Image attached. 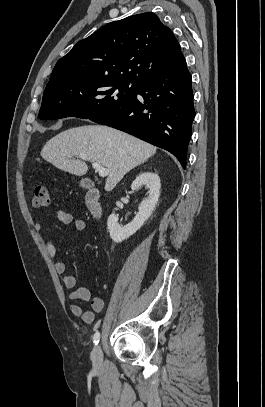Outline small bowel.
I'll return each mask as SVG.
<instances>
[{
	"instance_id": "obj_1",
	"label": "small bowel",
	"mask_w": 265,
	"mask_h": 407,
	"mask_svg": "<svg viewBox=\"0 0 265 407\" xmlns=\"http://www.w3.org/2000/svg\"><path fill=\"white\" fill-rule=\"evenodd\" d=\"M45 213H41L34 223V228L36 231H40L42 228V219ZM58 224L60 225H73L77 231H82L86 227V223L82 218H75L73 214L57 210L55 212ZM46 251L51 258H56L57 249L54 242L51 239H46L45 241ZM54 267L58 274L62 275V281L65 288L71 290L69 298L73 301H90L92 310H86L83 308L81 303L75 302L70 306L71 313L74 316L80 317L85 323L91 324L94 322V317L96 313H101L104 310V300L97 296L91 297V292L86 287H77L76 278L74 275L66 274V264L63 260H55Z\"/></svg>"
}]
</instances>
